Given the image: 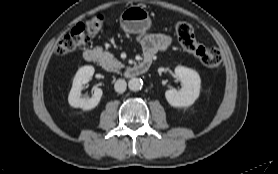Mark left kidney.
<instances>
[{"instance_id":"5707ae66","label":"left kidney","mask_w":278,"mask_h":174,"mask_svg":"<svg viewBox=\"0 0 278 174\" xmlns=\"http://www.w3.org/2000/svg\"><path fill=\"white\" fill-rule=\"evenodd\" d=\"M176 77L182 82L180 91L169 89L165 92L168 103L173 107L191 106L199 97L201 79L199 74L183 66L175 68Z\"/></svg>"}]
</instances>
